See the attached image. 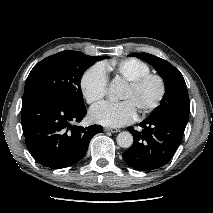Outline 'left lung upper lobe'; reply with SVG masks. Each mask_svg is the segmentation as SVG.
I'll use <instances>...</instances> for the list:
<instances>
[{
  "mask_svg": "<svg viewBox=\"0 0 213 213\" xmlns=\"http://www.w3.org/2000/svg\"><path fill=\"white\" fill-rule=\"evenodd\" d=\"M152 65L165 82V95L161 104L156 107L147 119H155L164 115H176L189 119V95L185 80L178 69L166 60L148 53H132Z\"/></svg>",
  "mask_w": 213,
  "mask_h": 213,
  "instance_id": "1",
  "label": "left lung upper lobe"
}]
</instances>
